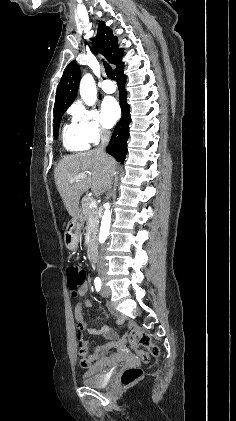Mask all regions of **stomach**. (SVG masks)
Instances as JSON below:
<instances>
[{
  "label": "stomach",
  "mask_w": 236,
  "mask_h": 421,
  "mask_svg": "<svg viewBox=\"0 0 236 421\" xmlns=\"http://www.w3.org/2000/svg\"><path fill=\"white\" fill-rule=\"evenodd\" d=\"M73 221L75 223L73 231H66L65 233V245L69 251H76L78 247L79 235L84 223L81 211H78L77 217H73Z\"/></svg>",
  "instance_id": "0dacf381"
}]
</instances>
